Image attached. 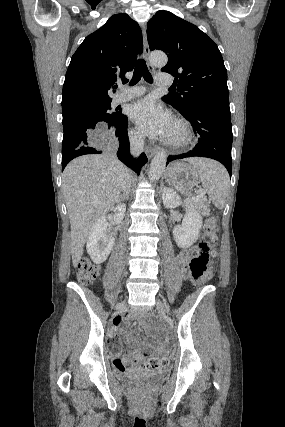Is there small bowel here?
Returning a JSON list of instances; mask_svg holds the SVG:
<instances>
[{
    "mask_svg": "<svg viewBox=\"0 0 285 427\" xmlns=\"http://www.w3.org/2000/svg\"><path fill=\"white\" fill-rule=\"evenodd\" d=\"M187 254L185 252H182L178 256V260L180 263H185ZM133 319V316H125L123 318L118 319L115 321L116 326H124L128 324ZM106 344L111 350V357L113 359L114 367L116 369H123L125 367H122L121 365L124 364L125 366L131 365V364H139L143 360V353L139 349H134L130 355L124 356L122 351V345L119 340H117L112 333H110L107 337Z\"/></svg>",
    "mask_w": 285,
    "mask_h": 427,
    "instance_id": "c3829d8e",
    "label": "small bowel"
}]
</instances>
